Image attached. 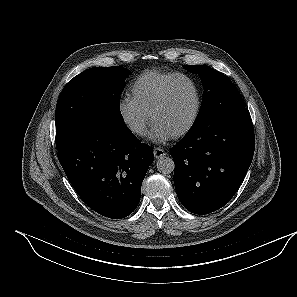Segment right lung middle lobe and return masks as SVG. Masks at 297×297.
<instances>
[{"label": "right lung middle lobe", "mask_w": 297, "mask_h": 297, "mask_svg": "<svg viewBox=\"0 0 297 297\" xmlns=\"http://www.w3.org/2000/svg\"><path fill=\"white\" fill-rule=\"evenodd\" d=\"M129 74L119 66L94 67L66 84L55 111L57 150L89 122L124 123L119 102Z\"/></svg>", "instance_id": "1"}]
</instances>
